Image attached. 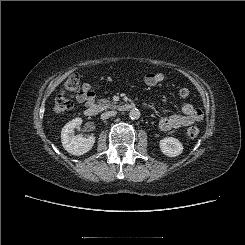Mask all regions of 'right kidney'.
Instances as JSON below:
<instances>
[{"label":"right kidney","instance_id":"1","mask_svg":"<svg viewBox=\"0 0 245 245\" xmlns=\"http://www.w3.org/2000/svg\"><path fill=\"white\" fill-rule=\"evenodd\" d=\"M82 124L81 118L69 121L61 131V141L64 149L72 155L80 156L90 151L95 143V137L76 136L74 129Z\"/></svg>","mask_w":245,"mask_h":245}]
</instances>
